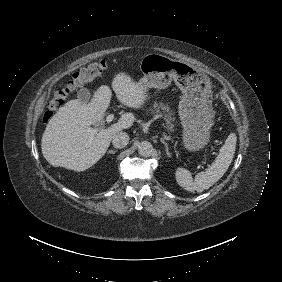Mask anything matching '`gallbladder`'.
<instances>
[{"label":"gallbladder","instance_id":"gallbladder-1","mask_svg":"<svg viewBox=\"0 0 282 282\" xmlns=\"http://www.w3.org/2000/svg\"><path fill=\"white\" fill-rule=\"evenodd\" d=\"M78 101L83 105H88L91 101V93L90 90L87 88H82L77 93Z\"/></svg>","mask_w":282,"mask_h":282}]
</instances>
